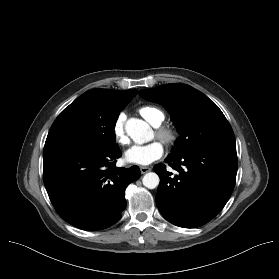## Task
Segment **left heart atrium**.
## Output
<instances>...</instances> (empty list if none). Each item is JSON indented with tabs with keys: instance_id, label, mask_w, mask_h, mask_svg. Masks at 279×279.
<instances>
[{
	"instance_id": "left-heart-atrium-1",
	"label": "left heart atrium",
	"mask_w": 279,
	"mask_h": 279,
	"mask_svg": "<svg viewBox=\"0 0 279 279\" xmlns=\"http://www.w3.org/2000/svg\"><path fill=\"white\" fill-rule=\"evenodd\" d=\"M164 147L159 141L146 145H134L125 153L128 162L138 165H149L163 156Z\"/></svg>"
}]
</instances>
